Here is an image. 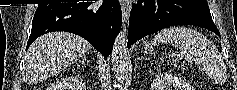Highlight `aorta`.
Returning a JSON list of instances; mask_svg holds the SVG:
<instances>
[{"label": "aorta", "instance_id": "1", "mask_svg": "<svg viewBox=\"0 0 237 90\" xmlns=\"http://www.w3.org/2000/svg\"><path fill=\"white\" fill-rule=\"evenodd\" d=\"M112 72L115 80L123 84L128 70L127 30H120L111 52Z\"/></svg>", "mask_w": 237, "mask_h": 90}]
</instances>
